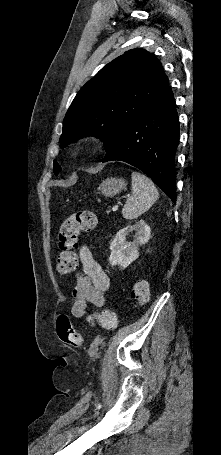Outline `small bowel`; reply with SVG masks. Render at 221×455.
Masks as SVG:
<instances>
[{
	"mask_svg": "<svg viewBox=\"0 0 221 455\" xmlns=\"http://www.w3.org/2000/svg\"><path fill=\"white\" fill-rule=\"evenodd\" d=\"M81 271L75 277L74 302L71 313L76 318L87 314L88 305L103 307L110 290V280L100 264L94 259L90 248L83 245L79 250Z\"/></svg>",
	"mask_w": 221,
	"mask_h": 455,
	"instance_id": "obj_1",
	"label": "small bowel"
}]
</instances>
